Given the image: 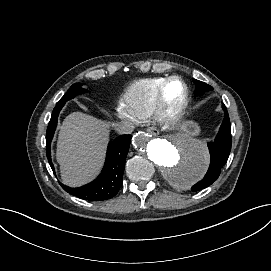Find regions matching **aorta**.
Masks as SVG:
<instances>
[{
	"label": "aorta",
	"mask_w": 271,
	"mask_h": 271,
	"mask_svg": "<svg viewBox=\"0 0 271 271\" xmlns=\"http://www.w3.org/2000/svg\"><path fill=\"white\" fill-rule=\"evenodd\" d=\"M132 143L138 151L147 155L175 188H190L203 177L209 165L207 146L188 133L151 138L146 132H138Z\"/></svg>",
	"instance_id": "aorta-1"
}]
</instances>
